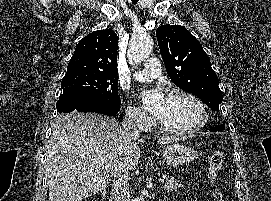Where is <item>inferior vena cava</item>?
Listing matches in <instances>:
<instances>
[{
	"label": "inferior vena cava",
	"instance_id": "obj_1",
	"mask_svg": "<svg viewBox=\"0 0 271 201\" xmlns=\"http://www.w3.org/2000/svg\"><path fill=\"white\" fill-rule=\"evenodd\" d=\"M142 118L139 113H129L122 121L123 134L126 137H139L138 122ZM128 170L121 168L113 178L110 201H130Z\"/></svg>",
	"mask_w": 271,
	"mask_h": 201
}]
</instances>
